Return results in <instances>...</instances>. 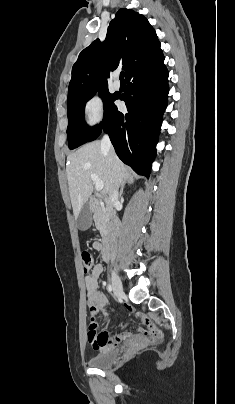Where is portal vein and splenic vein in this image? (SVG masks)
<instances>
[{"instance_id": "portal-vein-and-splenic-vein-1", "label": "portal vein and splenic vein", "mask_w": 235, "mask_h": 404, "mask_svg": "<svg viewBox=\"0 0 235 404\" xmlns=\"http://www.w3.org/2000/svg\"><path fill=\"white\" fill-rule=\"evenodd\" d=\"M91 179H92V181H93V183L95 185L96 191H101L103 189V187H104L103 182L95 174H91Z\"/></svg>"}]
</instances>
